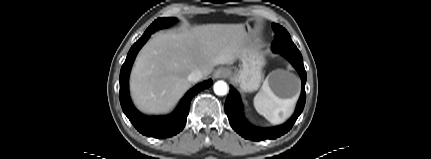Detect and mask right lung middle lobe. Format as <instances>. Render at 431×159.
Instances as JSON below:
<instances>
[{
  "mask_svg": "<svg viewBox=\"0 0 431 159\" xmlns=\"http://www.w3.org/2000/svg\"><path fill=\"white\" fill-rule=\"evenodd\" d=\"M176 21V18H158L155 20L146 31L152 30L156 31L159 28L168 27Z\"/></svg>",
  "mask_w": 431,
  "mask_h": 159,
  "instance_id": "1",
  "label": "right lung middle lobe"
}]
</instances>
